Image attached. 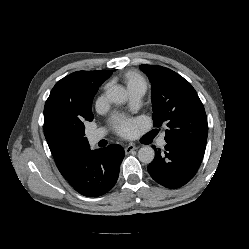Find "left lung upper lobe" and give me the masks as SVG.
Returning <instances> with one entry per match:
<instances>
[{"mask_svg": "<svg viewBox=\"0 0 249 249\" xmlns=\"http://www.w3.org/2000/svg\"><path fill=\"white\" fill-rule=\"evenodd\" d=\"M139 68L151 82L155 127L166 124L169 144L204 155L208 124L204 106L191 84L176 72L155 65Z\"/></svg>", "mask_w": 249, "mask_h": 249, "instance_id": "obj_1", "label": "left lung upper lobe"}]
</instances>
